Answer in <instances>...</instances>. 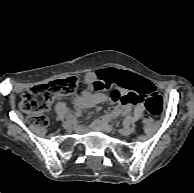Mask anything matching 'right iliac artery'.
<instances>
[{
    "mask_svg": "<svg viewBox=\"0 0 194 193\" xmlns=\"http://www.w3.org/2000/svg\"><path fill=\"white\" fill-rule=\"evenodd\" d=\"M67 119H68V120H72V121L75 122L76 117H75L73 114H68V115H67Z\"/></svg>",
    "mask_w": 194,
    "mask_h": 193,
    "instance_id": "right-iliac-artery-1",
    "label": "right iliac artery"
}]
</instances>
